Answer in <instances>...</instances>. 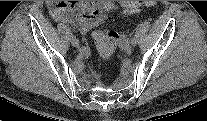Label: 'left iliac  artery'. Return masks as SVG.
I'll use <instances>...</instances> for the list:
<instances>
[{
  "label": "left iliac artery",
  "instance_id": "44dca946",
  "mask_svg": "<svg viewBox=\"0 0 207 121\" xmlns=\"http://www.w3.org/2000/svg\"><path fill=\"white\" fill-rule=\"evenodd\" d=\"M119 42L121 44H132L133 46H135L137 44L136 39H134V36L131 34H125V35H121L119 37Z\"/></svg>",
  "mask_w": 207,
  "mask_h": 121
}]
</instances>
